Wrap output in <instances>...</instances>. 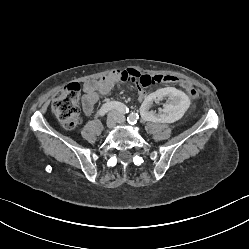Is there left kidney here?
<instances>
[{
	"label": "left kidney",
	"mask_w": 249,
	"mask_h": 249,
	"mask_svg": "<svg viewBox=\"0 0 249 249\" xmlns=\"http://www.w3.org/2000/svg\"><path fill=\"white\" fill-rule=\"evenodd\" d=\"M139 101L138 113L149 123L176 122L191 107V100L179 87H165L151 94H141ZM163 101L167 102L165 107L152 110L154 103Z\"/></svg>",
	"instance_id": "1"
}]
</instances>
